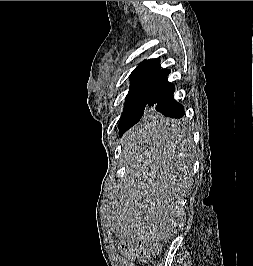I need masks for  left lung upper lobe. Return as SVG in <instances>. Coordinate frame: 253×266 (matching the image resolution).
Wrapping results in <instances>:
<instances>
[{"instance_id": "obj_1", "label": "left lung upper lobe", "mask_w": 253, "mask_h": 266, "mask_svg": "<svg viewBox=\"0 0 253 266\" xmlns=\"http://www.w3.org/2000/svg\"><path fill=\"white\" fill-rule=\"evenodd\" d=\"M159 62V59L145 60L131 73V86L119 124L132 127L151 117L146 112V103L149 89L160 68Z\"/></svg>"}]
</instances>
